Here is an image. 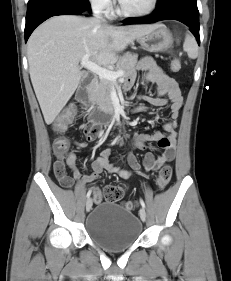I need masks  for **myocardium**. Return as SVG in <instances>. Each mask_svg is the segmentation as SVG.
<instances>
[{"mask_svg": "<svg viewBox=\"0 0 231 281\" xmlns=\"http://www.w3.org/2000/svg\"><path fill=\"white\" fill-rule=\"evenodd\" d=\"M119 2V12L127 17H135V18H140V17H146L154 13L158 7L159 0H152L151 5L143 11H132L124 7L123 3L121 0H118Z\"/></svg>", "mask_w": 231, "mask_h": 281, "instance_id": "f54148a6", "label": "myocardium"}]
</instances>
